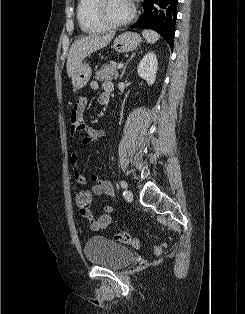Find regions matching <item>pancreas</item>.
I'll use <instances>...</instances> for the list:
<instances>
[{"label": "pancreas", "instance_id": "1", "mask_svg": "<svg viewBox=\"0 0 245 314\" xmlns=\"http://www.w3.org/2000/svg\"><path fill=\"white\" fill-rule=\"evenodd\" d=\"M118 63H110L102 66L97 72L95 79L99 81H108L117 79L118 77Z\"/></svg>", "mask_w": 245, "mask_h": 314}]
</instances>
